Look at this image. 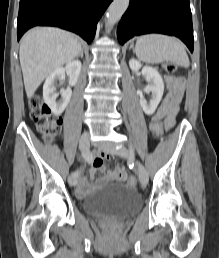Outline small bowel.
Listing matches in <instances>:
<instances>
[{
  "label": "small bowel",
  "mask_w": 219,
  "mask_h": 258,
  "mask_svg": "<svg viewBox=\"0 0 219 258\" xmlns=\"http://www.w3.org/2000/svg\"><path fill=\"white\" fill-rule=\"evenodd\" d=\"M165 82L169 89L166 90V96H163V100H160V104H157L155 112L158 113V117H168L166 121V128L170 129L175 123V117L178 111L177 105H181L183 101V89L185 87V79L181 76H165ZM156 115V114H155ZM160 121V120H158ZM107 159V154L104 152H97L91 156V176L96 171L104 170V161ZM114 171H109V174H102L101 178L107 179H128L129 173L126 171V167H114ZM81 171H78V175ZM89 190V182L86 178L81 177L77 188L79 195H84Z\"/></svg>",
  "instance_id": "obj_1"
}]
</instances>
